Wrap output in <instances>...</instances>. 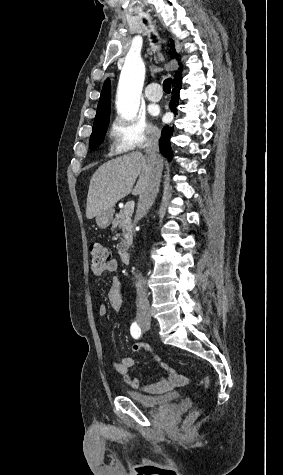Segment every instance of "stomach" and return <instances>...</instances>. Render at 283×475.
<instances>
[{
    "label": "stomach",
    "mask_w": 283,
    "mask_h": 475,
    "mask_svg": "<svg viewBox=\"0 0 283 475\" xmlns=\"http://www.w3.org/2000/svg\"><path fill=\"white\" fill-rule=\"evenodd\" d=\"M113 214V208H111V210H103L101 214H98V216H96V224L98 228H103V230L104 228H108L113 220Z\"/></svg>",
    "instance_id": "0dacf381"
}]
</instances>
